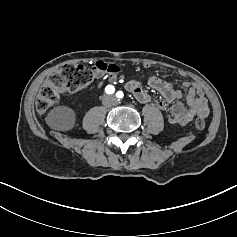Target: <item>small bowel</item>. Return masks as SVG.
I'll list each match as a JSON object with an SVG mask.
<instances>
[{"label": "small bowel", "mask_w": 237, "mask_h": 237, "mask_svg": "<svg viewBox=\"0 0 237 237\" xmlns=\"http://www.w3.org/2000/svg\"><path fill=\"white\" fill-rule=\"evenodd\" d=\"M146 83L159 92L163 100H156L155 105L162 111L168 112V122L172 125H187L195 117L206 118L209 114L207 99L202 88L195 82L185 81L183 87L187 90L185 106L179 100L182 93L173 88L171 83L154 75H148ZM143 80L132 79L125 84L126 89L140 102L147 103L152 100L150 93L143 87Z\"/></svg>", "instance_id": "c3829d8e"}]
</instances>
